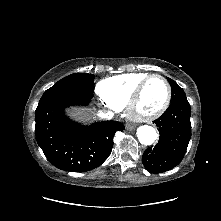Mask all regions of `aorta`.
<instances>
[{
    "label": "aorta",
    "mask_w": 221,
    "mask_h": 221,
    "mask_svg": "<svg viewBox=\"0 0 221 221\" xmlns=\"http://www.w3.org/2000/svg\"><path fill=\"white\" fill-rule=\"evenodd\" d=\"M136 134L139 142L143 145H152L157 138L156 130L148 125L138 127Z\"/></svg>",
    "instance_id": "762f6f07"
}]
</instances>
